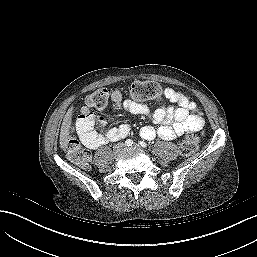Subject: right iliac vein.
<instances>
[{"instance_id": "63e3f726", "label": "right iliac vein", "mask_w": 257, "mask_h": 257, "mask_svg": "<svg viewBox=\"0 0 257 257\" xmlns=\"http://www.w3.org/2000/svg\"><path fill=\"white\" fill-rule=\"evenodd\" d=\"M123 150H124V145L123 144H118L114 147L113 153H114L115 156H118L119 154L122 153Z\"/></svg>"}]
</instances>
